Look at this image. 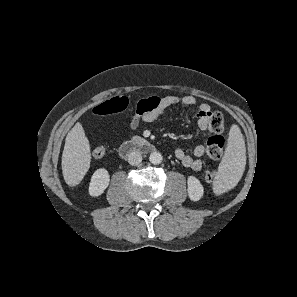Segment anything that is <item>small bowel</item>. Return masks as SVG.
<instances>
[{"label": "small bowel", "mask_w": 297, "mask_h": 297, "mask_svg": "<svg viewBox=\"0 0 297 297\" xmlns=\"http://www.w3.org/2000/svg\"><path fill=\"white\" fill-rule=\"evenodd\" d=\"M148 100L152 101V105L148 111L145 113L134 117L131 126L136 128L140 121L153 122L163 116L171 107L176 105L183 106H198V111L196 114V122L201 130H206L208 128L209 114L212 112L210 106L206 103L198 104V101L193 96H166V97H151ZM94 111V110H93ZM205 153V148L203 145H198L194 148L193 154H187L183 149L178 148L175 150V157L181 162V164L194 171H199L202 169L201 157Z\"/></svg>", "instance_id": "obj_1"}]
</instances>
